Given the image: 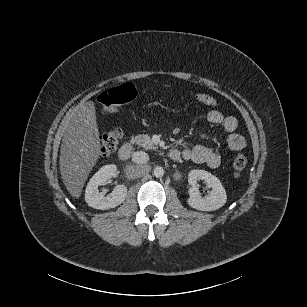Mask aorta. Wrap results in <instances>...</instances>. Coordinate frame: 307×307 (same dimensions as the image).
<instances>
[{"label": "aorta", "mask_w": 307, "mask_h": 307, "mask_svg": "<svg viewBox=\"0 0 307 307\" xmlns=\"http://www.w3.org/2000/svg\"><path fill=\"white\" fill-rule=\"evenodd\" d=\"M153 174L156 178H162L164 176V169L160 166H156Z\"/></svg>", "instance_id": "1"}]
</instances>
